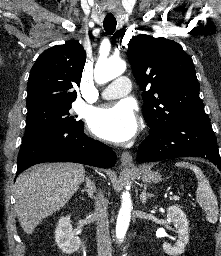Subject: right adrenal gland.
Masks as SVG:
<instances>
[{
    "instance_id": "obj_1",
    "label": "right adrenal gland",
    "mask_w": 221,
    "mask_h": 256,
    "mask_svg": "<svg viewBox=\"0 0 221 256\" xmlns=\"http://www.w3.org/2000/svg\"><path fill=\"white\" fill-rule=\"evenodd\" d=\"M86 186L85 189L82 190V192H87L89 198H93L94 192H95V184L91 181L90 177L85 178Z\"/></svg>"
}]
</instances>
